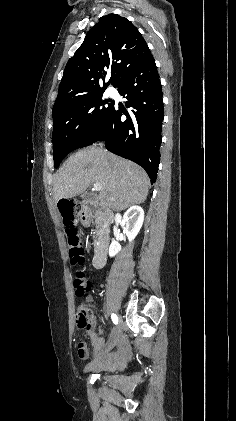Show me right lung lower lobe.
<instances>
[{"mask_svg": "<svg viewBox=\"0 0 236 421\" xmlns=\"http://www.w3.org/2000/svg\"><path fill=\"white\" fill-rule=\"evenodd\" d=\"M132 107L123 111L115 104L100 128L80 147L105 141L106 148L142 166L154 183L160 162L164 116L162 87L152 54L129 68L113 85ZM127 118L122 119V114ZM79 147V148H80Z\"/></svg>", "mask_w": 236, "mask_h": 421, "instance_id": "98d812e1", "label": "right lung lower lobe"}]
</instances>
